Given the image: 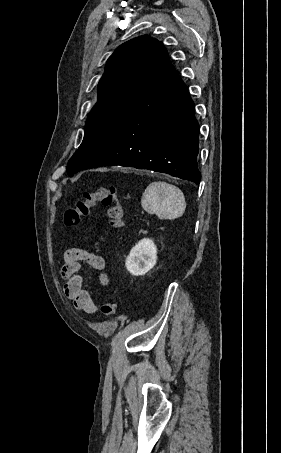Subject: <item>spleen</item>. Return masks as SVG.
<instances>
[{
  "label": "spleen",
  "instance_id": "spleen-1",
  "mask_svg": "<svg viewBox=\"0 0 281 453\" xmlns=\"http://www.w3.org/2000/svg\"><path fill=\"white\" fill-rule=\"evenodd\" d=\"M141 204L149 214H157L159 218L170 220L182 216L186 208L182 190L162 180L148 184L142 194Z\"/></svg>",
  "mask_w": 281,
  "mask_h": 453
}]
</instances>
